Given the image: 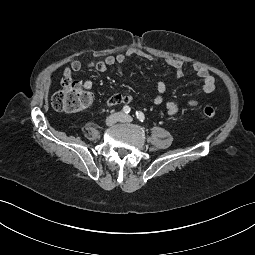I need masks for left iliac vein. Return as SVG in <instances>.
Wrapping results in <instances>:
<instances>
[{
  "label": "left iliac vein",
  "instance_id": "obj_1",
  "mask_svg": "<svg viewBox=\"0 0 255 255\" xmlns=\"http://www.w3.org/2000/svg\"><path fill=\"white\" fill-rule=\"evenodd\" d=\"M121 122H131L132 117L130 115H122V118L120 119Z\"/></svg>",
  "mask_w": 255,
  "mask_h": 255
}]
</instances>
